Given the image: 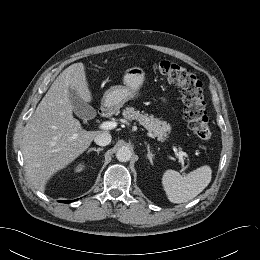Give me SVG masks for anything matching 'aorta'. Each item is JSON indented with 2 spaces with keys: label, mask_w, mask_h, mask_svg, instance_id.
<instances>
[{
  "label": "aorta",
  "mask_w": 260,
  "mask_h": 260,
  "mask_svg": "<svg viewBox=\"0 0 260 260\" xmlns=\"http://www.w3.org/2000/svg\"><path fill=\"white\" fill-rule=\"evenodd\" d=\"M132 156V150L129 146H121L118 148L116 152V158L120 162H127L130 160Z\"/></svg>",
  "instance_id": "obj_1"
}]
</instances>
